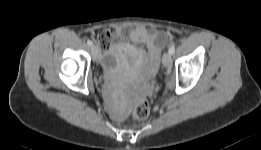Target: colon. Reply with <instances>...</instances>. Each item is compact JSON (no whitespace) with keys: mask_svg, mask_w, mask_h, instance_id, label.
<instances>
[{"mask_svg":"<svg viewBox=\"0 0 261 150\" xmlns=\"http://www.w3.org/2000/svg\"><path fill=\"white\" fill-rule=\"evenodd\" d=\"M133 116L137 119H146L150 114V106L146 100L139 101L133 108Z\"/></svg>","mask_w":261,"mask_h":150,"instance_id":"5ec220e1","label":"colon"}]
</instances>
